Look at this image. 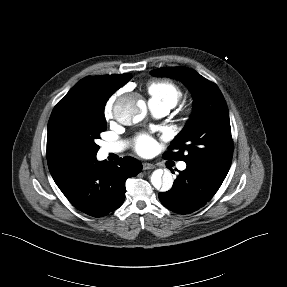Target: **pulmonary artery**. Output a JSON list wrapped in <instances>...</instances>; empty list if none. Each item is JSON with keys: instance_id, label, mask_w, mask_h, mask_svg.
Instances as JSON below:
<instances>
[{"instance_id": "obj_1", "label": "pulmonary artery", "mask_w": 287, "mask_h": 287, "mask_svg": "<svg viewBox=\"0 0 287 287\" xmlns=\"http://www.w3.org/2000/svg\"><path fill=\"white\" fill-rule=\"evenodd\" d=\"M149 107L151 111L153 112V114L157 117L165 116L166 114H168L170 110L169 107L165 105L157 104L154 102H149ZM102 149L104 153H116V152H120L123 149V145L122 144H105ZM178 168L180 170H184L186 168V164L184 162H181L179 163Z\"/></svg>"}]
</instances>
